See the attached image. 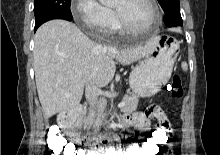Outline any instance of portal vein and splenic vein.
Returning <instances> with one entry per match:
<instances>
[{
    "mask_svg": "<svg viewBox=\"0 0 220 155\" xmlns=\"http://www.w3.org/2000/svg\"><path fill=\"white\" fill-rule=\"evenodd\" d=\"M70 96H71V94H66V97H70ZM102 101L104 102V99H102ZM124 105H125V102H120V103L118 104V107H119V108H122Z\"/></svg>",
    "mask_w": 220,
    "mask_h": 155,
    "instance_id": "obj_1",
    "label": "portal vein and splenic vein"
}]
</instances>
